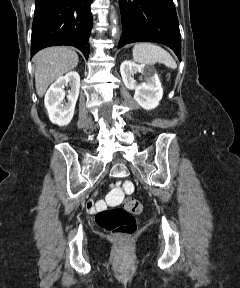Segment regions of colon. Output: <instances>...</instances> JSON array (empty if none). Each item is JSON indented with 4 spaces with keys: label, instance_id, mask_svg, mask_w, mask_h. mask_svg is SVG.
<instances>
[{
    "label": "colon",
    "instance_id": "1",
    "mask_svg": "<svg viewBox=\"0 0 240 288\" xmlns=\"http://www.w3.org/2000/svg\"><path fill=\"white\" fill-rule=\"evenodd\" d=\"M127 192L132 191L130 182L123 183ZM142 211V204L133 198L125 200L122 207L103 209L96 213V224L105 231L119 237H126L133 234L137 228L135 217Z\"/></svg>",
    "mask_w": 240,
    "mask_h": 288
}]
</instances>
